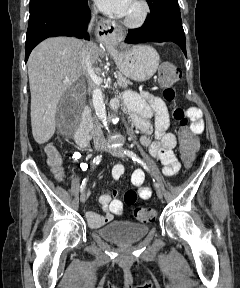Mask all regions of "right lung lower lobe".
Instances as JSON below:
<instances>
[{
	"mask_svg": "<svg viewBox=\"0 0 240 288\" xmlns=\"http://www.w3.org/2000/svg\"><path fill=\"white\" fill-rule=\"evenodd\" d=\"M90 10L87 0L47 6L29 17L26 36L27 61L32 49L42 40L55 36H75L89 40L86 33Z\"/></svg>",
	"mask_w": 240,
	"mask_h": 288,
	"instance_id": "98d812e1",
	"label": "right lung lower lobe"
}]
</instances>
